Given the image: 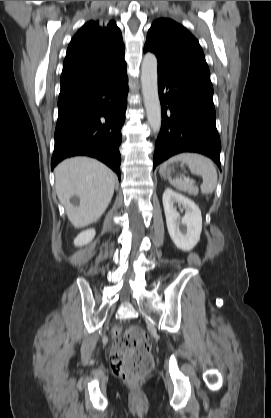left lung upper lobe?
<instances>
[{
	"instance_id": "5c2ea615",
	"label": "left lung upper lobe",
	"mask_w": 271,
	"mask_h": 418,
	"mask_svg": "<svg viewBox=\"0 0 271 418\" xmlns=\"http://www.w3.org/2000/svg\"><path fill=\"white\" fill-rule=\"evenodd\" d=\"M144 48L154 52L159 60L210 79L209 68L197 39L171 19L161 18L153 22Z\"/></svg>"
}]
</instances>
